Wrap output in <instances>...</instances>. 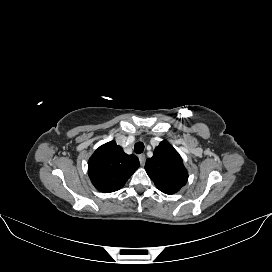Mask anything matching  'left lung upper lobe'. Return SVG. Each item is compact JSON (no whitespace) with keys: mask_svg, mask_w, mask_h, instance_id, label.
<instances>
[{"mask_svg":"<svg viewBox=\"0 0 272 272\" xmlns=\"http://www.w3.org/2000/svg\"><path fill=\"white\" fill-rule=\"evenodd\" d=\"M145 170L156 187L166 194L178 192L188 180L181 156L167 141L155 148L153 157L146 160Z\"/></svg>","mask_w":272,"mask_h":272,"instance_id":"left-lung-upper-lobe-1","label":"left lung upper lobe"}]
</instances>
